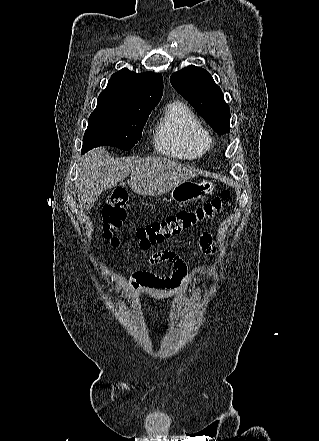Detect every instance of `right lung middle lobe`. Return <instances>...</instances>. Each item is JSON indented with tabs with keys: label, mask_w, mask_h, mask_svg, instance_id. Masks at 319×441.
I'll list each match as a JSON object with an SVG mask.
<instances>
[{
	"label": "right lung middle lobe",
	"mask_w": 319,
	"mask_h": 441,
	"mask_svg": "<svg viewBox=\"0 0 319 441\" xmlns=\"http://www.w3.org/2000/svg\"><path fill=\"white\" fill-rule=\"evenodd\" d=\"M154 107H96L88 120L81 153L109 145L130 150L142 137Z\"/></svg>",
	"instance_id": "obj_1"
}]
</instances>
